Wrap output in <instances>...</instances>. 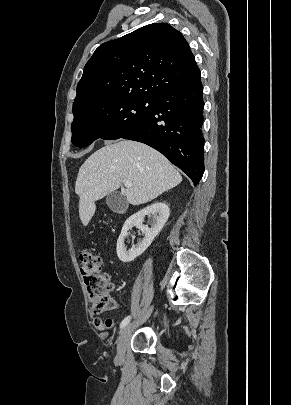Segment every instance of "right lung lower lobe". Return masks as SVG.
Masks as SVG:
<instances>
[{
    "mask_svg": "<svg viewBox=\"0 0 291 405\" xmlns=\"http://www.w3.org/2000/svg\"><path fill=\"white\" fill-rule=\"evenodd\" d=\"M202 93L200 75L161 91L145 121L121 138L155 148L196 185L204 172Z\"/></svg>",
    "mask_w": 291,
    "mask_h": 405,
    "instance_id": "right-lung-lower-lobe-1",
    "label": "right lung lower lobe"
}]
</instances>
